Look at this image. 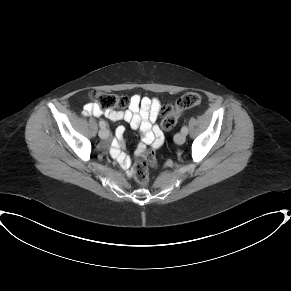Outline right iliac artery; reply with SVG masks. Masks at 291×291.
<instances>
[{"label": "right iliac artery", "mask_w": 291, "mask_h": 291, "mask_svg": "<svg viewBox=\"0 0 291 291\" xmlns=\"http://www.w3.org/2000/svg\"><path fill=\"white\" fill-rule=\"evenodd\" d=\"M99 125H100L101 128H105L106 127V124H105V122L103 120L99 121Z\"/></svg>", "instance_id": "1"}]
</instances>
